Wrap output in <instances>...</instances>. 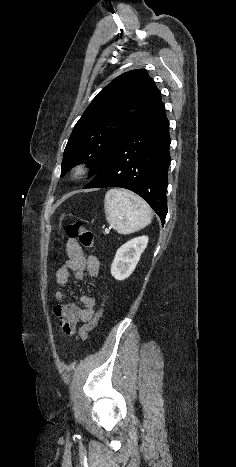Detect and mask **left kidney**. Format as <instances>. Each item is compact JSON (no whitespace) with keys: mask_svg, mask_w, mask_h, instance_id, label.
Returning <instances> with one entry per match:
<instances>
[{"mask_svg":"<svg viewBox=\"0 0 236 467\" xmlns=\"http://www.w3.org/2000/svg\"><path fill=\"white\" fill-rule=\"evenodd\" d=\"M147 244L148 237L140 236L126 242L117 250L111 265V274L116 280H125L132 274Z\"/></svg>","mask_w":236,"mask_h":467,"instance_id":"left-kidney-1","label":"left kidney"}]
</instances>
